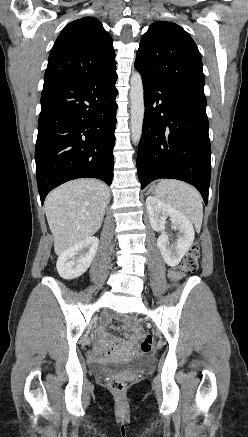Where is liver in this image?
Masks as SVG:
<instances>
[{
  "instance_id": "6515ba94",
  "label": "liver",
  "mask_w": 248,
  "mask_h": 437,
  "mask_svg": "<svg viewBox=\"0 0 248 437\" xmlns=\"http://www.w3.org/2000/svg\"><path fill=\"white\" fill-rule=\"evenodd\" d=\"M109 200L107 186L95 179L67 182L47 196L45 213L57 255L99 230Z\"/></svg>"
}]
</instances>
